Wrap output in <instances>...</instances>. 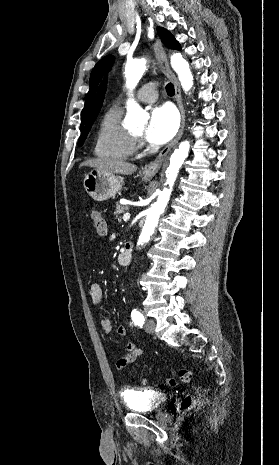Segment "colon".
I'll return each mask as SVG.
<instances>
[{
  "mask_svg": "<svg viewBox=\"0 0 279 465\" xmlns=\"http://www.w3.org/2000/svg\"><path fill=\"white\" fill-rule=\"evenodd\" d=\"M91 222L96 229L97 233L101 236L106 234L107 226L106 221L97 210H93L90 214ZM191 371L188 369H181L179 371V378L182 382H189L191 379ZM166 385L169 387H174L176 385V380L174 378H168L166 380ZM196 400L193 395H186L180 402V411L185 412L190 410L195 406Z\"/></svg>",
  "mask_w": 279,
  "mask_h": 465,
  "instance_id": "1",
  "label": "colon"
}]
</instances>
